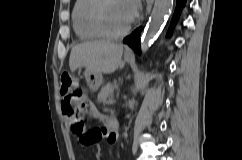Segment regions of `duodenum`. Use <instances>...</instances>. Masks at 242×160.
<instances>
[{"mask_svg":"<svg viewBox=\"0 0 242 160\" xmlns=\"http://www.w3.org/2000/svg\"><path fill=\"white\" fill-rule=\"evenodd\" d=\"M104 124L107 129H112L115 127V119L112 117H105L104 118Z\"/></svg>","mask_w":242,"mask_h":160,"instance_id":"obj_1","label":"duodenum"}]
</instances>
